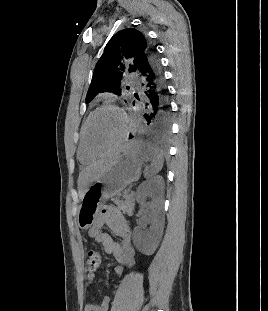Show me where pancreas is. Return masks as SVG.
I'll return each instance as SVG.
<instances>
[{"mask_svg": "<svg viewBox=\"0 0 268 311\" xmlns=\"http://www.w3.org/2000/svg\"><path fill=\"white\" fill-rule=\"evenodd\" d=\"M117 207L128 216H132L134 210V197L131 195L125 196V200H120L118 197L113 199Z\"/></svg>", "mask_w": 268, "mask_h": 311, "instance_id": "1", "label": "pancreas"}]
</instances>
